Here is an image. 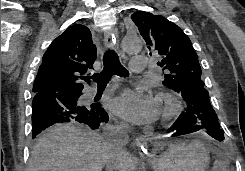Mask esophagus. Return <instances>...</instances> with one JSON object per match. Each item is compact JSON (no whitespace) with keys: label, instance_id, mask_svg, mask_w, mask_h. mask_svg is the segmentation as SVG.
I'll return each instance as SVG.
<instances>
[{"label":"esophagus","instance_id":"obj_1","mask_svg":"<svg viewBox=\"0 0 245 171\" xmlns=\"http://www.w3.org/2000/svg\"><path fill=\"white\" fill-rule=\"evenodd\" d=\"M104 45L107 49H112L115 42L113 40V37L111 36V33L109 31H105L104 33V39H103ZM134 145L138 149V153L143 157H150L151 154L147 149V142L144 137H139L134 141Z\"/></svg>","mask_w":245,"mask_h":171}]
</instances>
